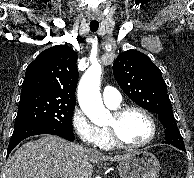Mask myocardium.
Masks as SVG:
<instances>
[{
	"label": "myocardium",
	"mask_w": 194,
	"mask_h": 178,
	"mask_svg": "<svg viewBox=\"0 0 194 178\" xmlns=\"http://www.w3.org/2000/svg\"><path fill=\"white\" fill-rule=\"evenodd\" d=\"M130 111H138V112L142 113L143 115H145L147 117V119L149 120V122L151 124V129H152L151 135L144 142L129 143V142L125 141L120 134V131H119L120 121ZM112 117H113V123L107 125L106 128L111 136L112 141L114 142V144L116 146L123 147V148H141V147L147 146L150 143H152L157 137L158 127H157L156 120H155L154 116L151 114V112L148 111L147 109H145L144 107H141L138 105L121 106V107H118L117 109L113 110Z\"/></svg>",
	"instance_id": "obj_1"
}]
</instances>
